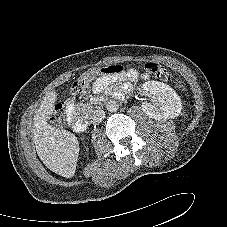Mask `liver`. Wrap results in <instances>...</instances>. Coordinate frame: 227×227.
Wrapping results in <instances>:
<instances>
[{"label":"liver","mask_w":227,"mask_h":227,"mask_svg":"<svg viewBox=\"0 0 227 227\" xmlns=\"http://www.w3.org/2000/svg\"><path fill=\"white\" fill-rule=\"evenodd\" d=\"M57 94L48 92L34 116V143L43 164L63 177L71 178L76 170L79 143L76 136L64 129H58L47 121L54 113Z\"/></svg>","instance_id":"liver-1"}]
</instances>
